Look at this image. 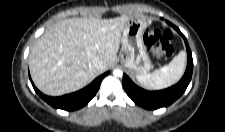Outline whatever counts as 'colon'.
I'll use <instances>...</instances> for the list:
<instances>
[{
	"mask_svg": "<svg viewBox=\"0 0 225 132\" xmlns=\"http://www.w3.org/2000/svg\"><path fill=\"white\" fill-rule=\"evenodd\" d=\"M144 43L157 57L171 56L175 48L172 33L156 26L146 29Z\"/></svg>",
	"mask_w": 225,
	"mask_h": 132,
	"instance_id": "obj_1",
	"label": "colon"
}]
</instances>
